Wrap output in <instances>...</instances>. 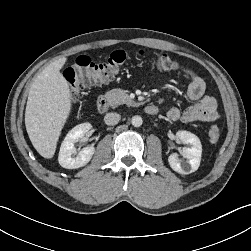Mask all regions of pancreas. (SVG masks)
<instances>
[{"label":"pancreas","mask_w":251,"mask_h":251,"mask_svg":"<svg viewBox=\"0 0 251 251\" xmlns=\"http://www.w3.org/2000/svg\"><path fill=\"white\" fill-rule=\"evenodd\" d=\"M112 106H119L121 104L133 105L134 102L130 99L125 90L112 89L105 94Z\"/></svg>","instance_id":"pancreas-1"}]
</instances>
